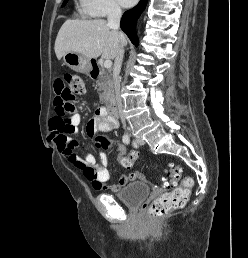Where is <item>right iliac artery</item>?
Segmentation results:
<instances>
[{
    "instance_id": "1",
    "label": "right iliac artery",
    "mask_w": 248,
    "mask_h": 258,
    "mask_svg": "<svg viewBox=\"0 0 248 258\" xmlns=\"http://www.w3.org/2000/svg\"><path fill=\"white\" fill-rule=\"evenodd\" d=\"M122 141H123L125 144H129L130 139H129L128 135H124V136L122 137Z\"/></svg>"
}]
</instances>
